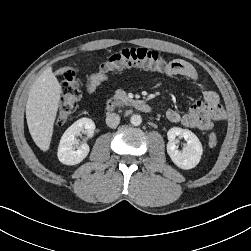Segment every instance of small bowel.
<instances>
[{
	"label": "small bowel",
	"instance_id": "small-bowel-1",
	"mask_svg": "<svg viewBox=\"0 0 251 251\" xmlns=\"http://www.w3.org/2000/svg\"><path fill=\"white\" fill-rule=\"evenodd\" d=\"M165 74L170 78L181 76L190 80L203 97L201 100L193 102L184 113L175 109L167 110L166 118L170 122H180L188 128L209 131L212 129L214 121L224 118V111L220 106L217 93L204 85L192 64L182 59L172 60ZM104 79L105 74L103 73L93 75L86 84V92H93Z\"/></svg>",
	"mask_w": 251,
	"mask_h": 251
}]
</instances>
